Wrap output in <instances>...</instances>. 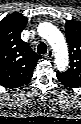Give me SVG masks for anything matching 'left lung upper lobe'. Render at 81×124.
<instances>
[{"instance_id":"1","label":"left lung upper lobe","mask_w":81,"mask_h":124,"mask_svg":"<svg viewBox=\"0 0 81 124\" xmlns=\"http://www.w3.org/2000/svg\"><path fill=\"white\" fill-rule=\"evenodd\" d=\"M65 33L69 45L70 67L57 74L74 88L81 87V22L66 21Z\"/></svg>"}]
</instances>
